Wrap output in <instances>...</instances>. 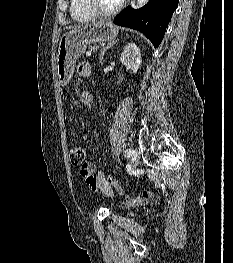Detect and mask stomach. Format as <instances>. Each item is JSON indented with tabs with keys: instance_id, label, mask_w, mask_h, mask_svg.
Here are the masks:
<instances>
[{
	"instance_id": "1",
	"label": "stomach",
	"mask_w": 233,
	"mask_h": 263,
	"mask_svg": "<svg viewBox=\"0 0 233 263\" xmlns=\"http://www.w3.org/2000/svg\"><path fill=\"white\" fill-rule=\"evenodd\" d=\"M118 28L110 21H99L66 32L60 39L56 75L60 86L71 79L76 60L85 52L88 44L113 40Z\"/></svg>"
}]
</instances>
